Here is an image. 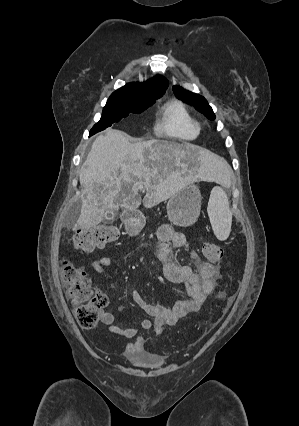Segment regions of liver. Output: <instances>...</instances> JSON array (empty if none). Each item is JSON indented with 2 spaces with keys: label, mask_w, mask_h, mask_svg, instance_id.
Instances as JSON below:
<instances>
[{
  "label": "liver",
  "mask_w": 299,
  "mask_h": 426,
  "mask_svg": "<svg viewBox=\"0 0 299 426\" xmlns=\"http://www.w3.org/2000/svg\"><path fill=\"white\" fill-rule=\"evenodd\" d=\"M229 175L228 163L201 147L157 139L131 143L124 132L108 129L80 169L82 207L75 228L96 227L107 208H138L139 190H146L143 205L153 207L198 178L223 181Z\"/></svg>",
  "instance_id": "obj_1"
}]
</instances>
